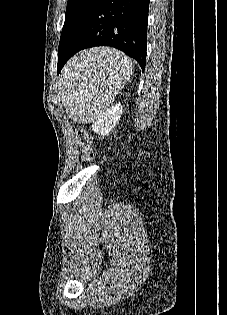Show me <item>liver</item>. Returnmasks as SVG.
Listing matches in <instances>:
<instances>
[{"label":"liver","instance_id":"liver-1","mask_svg":"<svg viewBox=\"0 0 227 315\" xmlns=\"http://www.w3.org/2000/svg\"><path fill=\"white\" fill-rule=\"evenodd\" d=\"M103 48H105V47H103ZM95 50H100L101 48H94Z\"/></svg>","mask_w":227,"mask_h":315}]
</instances>
